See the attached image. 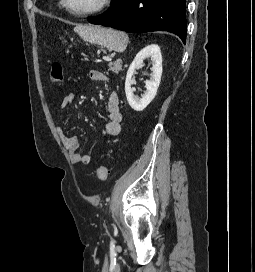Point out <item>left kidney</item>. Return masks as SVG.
I'll return each instance as SVG.
<instances>
[{"instance_id": "obj_1", "label": "left kidney", "mask_w": 255, "mask_h": 272, "mask_svg": "<svg viewBox=\"0 0 255 272\" xmlns=\"http://www.w3.org/2000/svg\"><path fill=\"white\" fill-rule=\"evenodd\" d=\"M147 58L152 60V68L150 80L146 81V92L142 98L134 95V89L131 84L134 82L132 79L137 68L143 66V61ZM162 76V55L160 47L156 44H151L143 48L134 58L131 63L125 81V93L127 101L132 109L135 111L144 110L150 102L155 98Z\"/></svg>"}]
</instances>
